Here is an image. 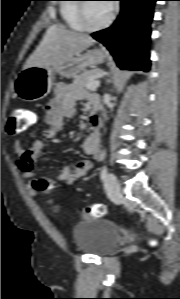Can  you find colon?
<instances>
[{
	"label": "colon",
	"instance_id": "colon-1",
	"mask_svg": "<svg viewBox=\"0 0 180 299\" xmlns=\"http://www.w3.org/2000/svg\"><path fill=\"white\" fill-rule=\"evenodd\" d=\"M37 116L34 112L29 111L24 108H15L11 110L6 128L10 134H19L29 128L31 125L35 123ZM35 188L39 193L42 194H50L53 190V186L51 184H47L44 182L37 181L35 183ZM105 206L102 204H92L86 209V217L95 218L100 217L105 214ZM150 243L155 244L156 240L154 238H149Z\"/></svg>",
	"mask_w": 180,
	"mask_h": 299
}]
</instances>
